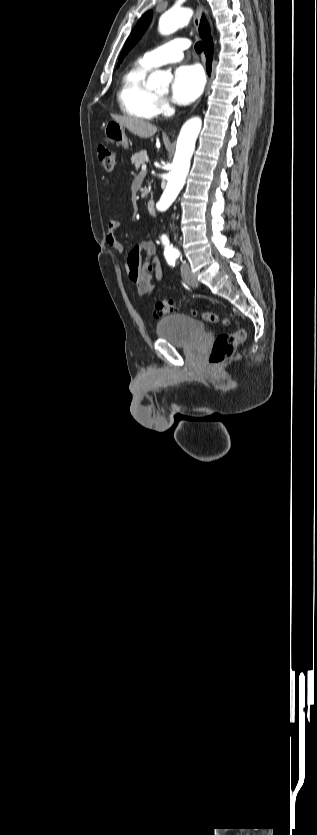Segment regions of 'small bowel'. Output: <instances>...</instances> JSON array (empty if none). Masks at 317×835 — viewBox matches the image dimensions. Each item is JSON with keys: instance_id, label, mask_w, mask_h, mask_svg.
I'll return each mask as SVG.
<instances>
[{"instance_id": "1", "label": "small bowel", "mask_w": 317, "mask_h": 835, "mask_svg": "<svg viewBox=\"0 0 317 835\" xmlns=\"http://www.w3.org/2000/svg\"><path fill=\"white\" fill-rule=\"evenodd\" d=\"M121 223L117 219H110L107 223L106 243L114 251L124 253V245L117 237ZM145 255L146 263L150 266V272H145L141 269V255ZM156 247L150 240L143 241L132 247L127 253V269L128 274L133 283H135L138 293L141 295L148 294L153 289V277L156 281H161L163 278V271L156 257ZM153 274V275H152Z\"/></svg>"}]
</instances>
